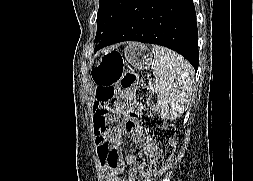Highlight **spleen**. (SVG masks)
<instances>
[{"label":"spleen","mask_w":253,"mask_h":181,"mask_svg":"<svg viewBox=\"0 0 253 181\" xmlns=\"http://www.w3.org/2000/svg\"><path fill=\"white\" fill-rule=\"evenodd\" d=\"M155 77L151 88L157 93L156 109L163 118H179L190 101L194 88V70L177 53L153 46Z\"/></svg>","instance_id":"obj_1"}]
</instances>
